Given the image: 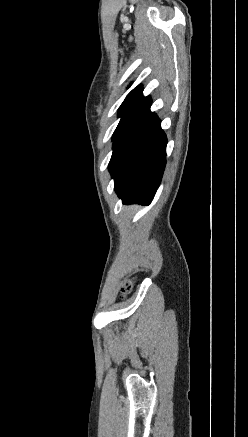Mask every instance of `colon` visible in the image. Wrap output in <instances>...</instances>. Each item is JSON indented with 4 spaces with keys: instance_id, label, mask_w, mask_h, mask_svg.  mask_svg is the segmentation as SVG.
I'll list each match as a JSON object with an SVG mask.
<instances>
[{
    "instance_id": "1",
    "label": "colon",
    "mask_w": 248,
    "mask_h": 437,
    "mask_svg": "<svg viewBox=\"0 0 248 437\" xmlns=\"http://www.w3.org/2000/svg\"><path fill=\"white\" fill-rule=\"evenodd\" d=\"M132 287H133L132 280L124 281L121 285V288H120L121 295L126 296L127 294H129L132 290Z\"/></svg>"
}]
</instances>
